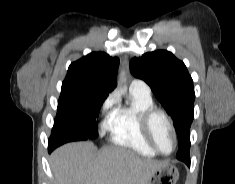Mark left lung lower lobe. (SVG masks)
<instances>
[{
    "mask_svg": "<svg viewBox=\"0 0 235 184\" xmlns=\"http://www.w3.org/2000/svg\"><path fill=\"white\" fill-rule=\"evenodd\" d=\"M188 166H190V160L185 162Z\"/></svg>",
    "mask_w": 235,
    "mask_h": 184,
    "instance_id": "0a47b994",
    "label": "left lung lower lobe"
}]
</instances>
